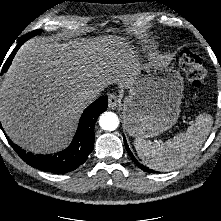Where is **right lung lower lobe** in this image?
Here are the masks:
<instances>
[{"instance_id": "right-lung-lower-lobe-1", "label": "right lung lower lobe", "mask_w": 221, "mask_h": 221, "mask_svg": "<svg viewBox=\"0 0 221 221\" xmlns=\"http://www.w3.org/2000/svg\"><path fill=\"white\" fill-rule=\"evenodd\" d=\"M30 37H32V34L28 35L17 47L22 45ZM11 62L12 59L9 60L5 70L10 66ZM107 106V96H103L87 107L80 118L72 143L68 148L54 155H33L32 153H26L25 150L13 144L9 139L8 141L18 155L34 168L60 174L71 172L82 165L93 150L96 119L107 109Z\"/></svg>"}]
</instances>
